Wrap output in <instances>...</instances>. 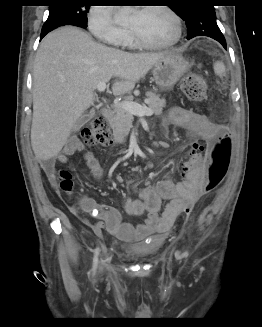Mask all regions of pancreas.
Instances as JSON below:
<instances>
[{"instance_id": "obj_1", "label": "pancreas", "mask_w": 262, "mask_h": 327, "mask_svg": "<svg viewBox=\"0 0 262 327\" xmlns=\"http://www.w3.org/2000/svg\"><path fill=\"white\" fill-rule=\"evenodd\" d=\"M148 107L153 110L156 115L162 114L163 107L166 105L165 99H160V96L153 92L146 93ZM133 114L126 110L117 107L113 111V117L110 119V127L113 130V136L116 142L124 143L128 136L133 122Z\"/></svg>"}]
</instances>
